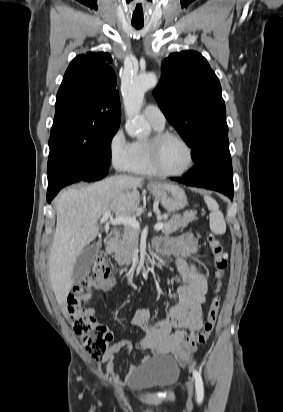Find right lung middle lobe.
<instances>
[{"instance_id":"right-lung-middle-lobe-1","label":"right lung middle lobe","mask_w":283,"mask_h":412,"mask_svg":"<svg viewBox=\"0 0 283 412\" xmlns=\"http://www.w3.org/2000/svg\"><path fill=\"white\" fill-rule=\"evenodd\" d=\"M118 129L103 130L75 115L54 118L49 139L48 174L111 161V140Z\"/></svg>"}]
</instances>
